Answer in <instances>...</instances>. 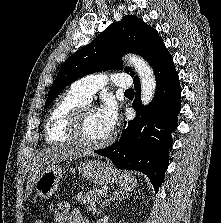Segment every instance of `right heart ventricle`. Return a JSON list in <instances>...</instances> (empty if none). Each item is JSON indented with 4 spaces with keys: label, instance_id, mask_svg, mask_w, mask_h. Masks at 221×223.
Instances as JSON below:
<instances>
[{
    "label": "right heart ventricle",
    "instance_id": "obj_1",
    "mask_svg": "<svg viewBox=\"0 0 221 223\" xmlns=\"http://www.w3.org/2000/svg\"><path fill=\"white\" fill-rule=\"evenodd\" d=\"M86 101L69 89L62 93L52 106L45 124L44 135L49 143H70V138L65 132L70 113L78 106L85 104Z\"/></svg>",
    "mask_w": 221,
    "mask_h": 223
}]
</instances>
